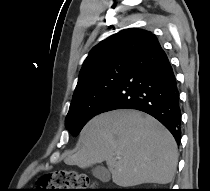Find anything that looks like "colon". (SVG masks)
<instances>
[{"label": "colon", "mask_w": 210, "mask_h": 191, "mask_svg": "<svg viewBox=\"0 0 210 191\" xmlns=\"http://www.w3.org/2000/svg\"><path fill=\"white\" fill-rule=\"evenodd\" d=\"M38 186L45 191H104L84 173L77 170H59L43 175Z\"/></svg>", "instance_id": "1"}]
</instances>
